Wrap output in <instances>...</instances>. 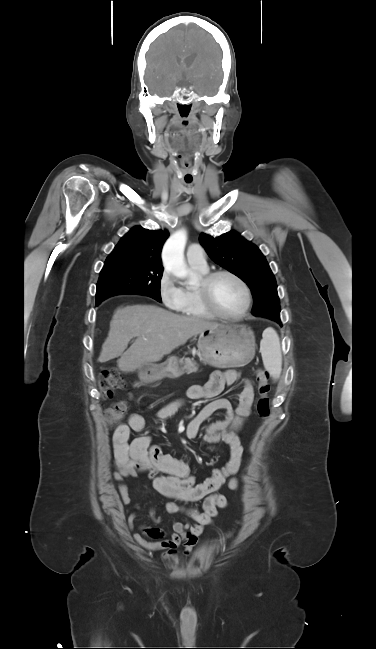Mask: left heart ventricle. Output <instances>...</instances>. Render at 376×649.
<instances>
[{
  "instance_id": "b2bd125f",
  "label": "left heart ventricle",
  "mask_w": 376,
  "mask_h": 649,
  "mask_svg": "<svg viewBox=\"0 0 376 649\" xmlns=\"http://www.w3.org/2000/svg\"><path fill=\"white\" fill-rule=\"evenodd\" d=\"M211 296L214 304L227 314H238L244 307L245 295L241 286L229 276L215 279Z\"/></svg>"
}]
</instances>
